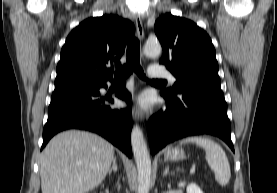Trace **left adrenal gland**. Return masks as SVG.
Wrapping results in <instances>:
<instances>
[{
    "label": "left adrenal gland",
    "mask_w": 277,
    "mask_h": 193,
    "mask_svg": "<svg viewBox=\"0 0 277 193\" xmlns=\"http://www.w3.org/2000/svg\"><path fill=\"white\" fill-rule=\"evenodd\" d=\"M169 173V166H166L164 172H163V176L167 175Z\"/></svg>",
    "instance_id": "1"
}]
</instances>
